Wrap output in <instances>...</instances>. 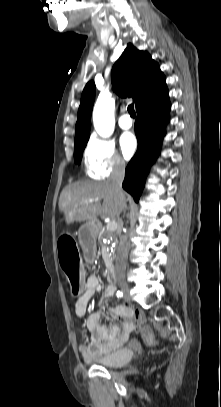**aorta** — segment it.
I'll return each instance as SVG.
<instances>
[{"label":"aorta","mask_w":221,"mask_h":407,"mask_svg":"<svg viewBox=\"0 0 221 407\" xmlns=\"http://www.w3.org/2000/svg\"><path fill=\"white\" fill-rule=\"evenodd\" d=\"M93 123L96 132L102 137L112 135L115 126L114 100L106 93H101L93 110Z\"/></svg>","instance_id":"aorta-1"}]
</instances>
